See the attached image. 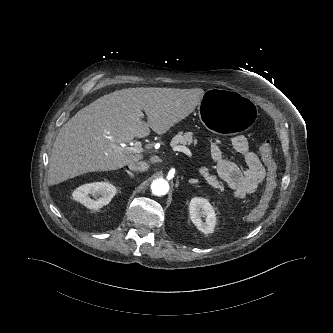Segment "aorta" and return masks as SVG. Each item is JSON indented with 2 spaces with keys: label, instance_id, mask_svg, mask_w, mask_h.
<instances>
[{
  "label": "aorta",
  "instance_id": "obj_1",
  "mask_svg": "<svg viewBox=\"0 0 333 333\" xmlns=\"http://www.w3.org/2000/svg\"><path fill=\"white\" fill-rule=\"evenodd\" d=\"M151 190L156 196L166 195L169 191V183L163 178H157L152 182Z\"/></svg>",
  "mask_w": 333,
  "mask_h": 333
}]
</instances>
